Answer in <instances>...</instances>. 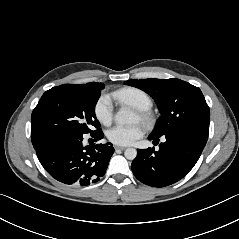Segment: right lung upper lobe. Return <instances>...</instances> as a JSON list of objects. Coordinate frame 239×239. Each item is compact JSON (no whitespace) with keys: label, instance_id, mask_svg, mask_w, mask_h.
<instances>
[{"label":"right lung upper lobe","instance_id":"right-lung-upper-lobe-1","mask_svg":"<svg viewBox=\"0 0 239 239\" xmlns=\"http://www.w3.org/2000/svg\"><path fill=\"white\" fill-rule=\"evenodd\" d=\"M90 84H101V85H103L102 83H97V82H92Z\"/></svg>","mask_w":239,"mask_h":239}]
</instances>
